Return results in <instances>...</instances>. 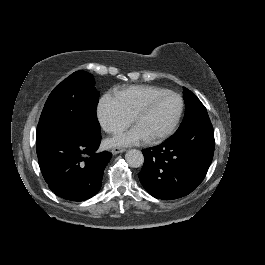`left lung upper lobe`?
I'll return each mask as SVG.
<instances>
[{"label": "left lung upper lobe", "mask_w": 265, "mask_h": 265, "mask_svg": "<svg viewBox=\"0 0 265 265\" xmlns=\"http://www.w3.org/2000/svg\"><path fill=\"white\" fill-rule=\"evenodd\" d=\"M183 98L185 101L186 111L184 119L177 131H181L197 123L210 120L204 105L187 88H184Z\"/></svg>", "instance_id": "obj_1"}]
</instances>
